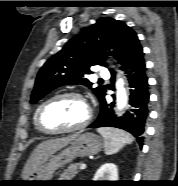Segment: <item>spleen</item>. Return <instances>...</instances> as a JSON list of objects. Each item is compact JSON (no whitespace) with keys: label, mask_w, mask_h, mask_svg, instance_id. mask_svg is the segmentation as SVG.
Listing matches in <instances>:
<instances>
[{"label":"spleen","mask_w":178,"mask_h":186,"mask_svg":"<svg viewBox=\"0 0 178 186\" xmlns=\"http://www.w3.org/2000/svg\"><path fill=\"white\" fill-rule=\"evenodd\" d=\"M98 132L104 138V151L106 155H113L124 145L133 143V137L120 129L98 128Z\"/></svg>","instance_id":"1"}]
</instances>
